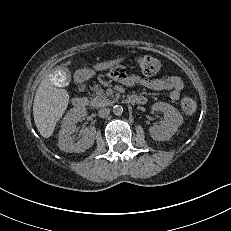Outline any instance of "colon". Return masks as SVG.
<instances>
[{
  "label": "colon",
  "mask_w": 231,
  "mask_h": 231,
  "mask_svg": "<svg viewBox=\"0 0 231 231\" xmlns=\"http://www.w3.org/2000/svg\"><path fill=\"white\" fill-rule=\"evenodd\" d=\"M137 66L140 72L146 76L157 74L161 68L160 61L150 55H142L137 59ZM181 107L186 114H193L196 111L197 103L192 97H184Z\"/></svg>",
  "instance_id": "obj_1"
}]
</instances>
